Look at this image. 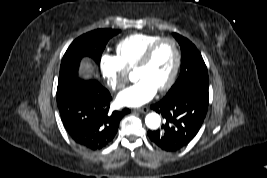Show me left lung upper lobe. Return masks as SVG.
<instances>
[{
  "label": "left lung upper lobe",
  "instance_id": "left-lung-upper-lobe-1",
  "mask_svg": "<svg viewBox=\"0 0 267 178\" xmlns=\"http://www.w3.org/2000/svg\"><path fill=\"white\" fill-rule=\"evenodd\" d=\"M173 36L181 47V71L166 96L188 87H198L208 91V72L200 52L188 39L176 33Z\"/></svg>",
  "mask_w": 267,
  "mask_h": 178
}]
</instances>
